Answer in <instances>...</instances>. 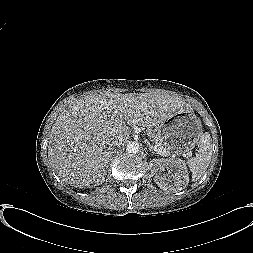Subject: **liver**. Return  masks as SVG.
Listing matches in <instances>:
<instances>
[{
    "label": "liver",
    "mask_w": 253,
    "mask_h": 253,
    "mask_svg": "<svg viewBox=\"0 0 253 253\" xmlns=\"http://www.w3.org/2000/svg\"><path fill=\"white\" fill-rule=\"evenodd\" d=\"M183 110L192 108L171 94L103 91L85 95L64 109L52 126L51 167L72 185L97 186L105 180L114 140L127 138L130 126L158 128Z\"/></svg>",
    "instance_id": "1"
}]
</instances>
